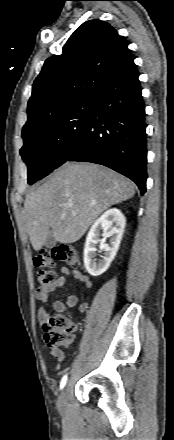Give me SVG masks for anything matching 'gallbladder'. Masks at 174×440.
I'll return each mask as SVG.
<instances>
[{"label":"gallbladder","instance_id":"gallbladder-1","mask_svg":"<svg viewBox=\"0 0 174 440\" xmlns=\"http://www.w3.org/2000/svg\"><path fill=\"white\" fill-rule=\"evenodd\" d=\"M56 239H55V237H54V235H53V232H52V230H50L49 232H48V235H47V237H46V242H45V245H46V247H49V248H51V247H53L55 244H56Z\"/></svg>","mask_w":174,"mask_h":440}]
</instances>
